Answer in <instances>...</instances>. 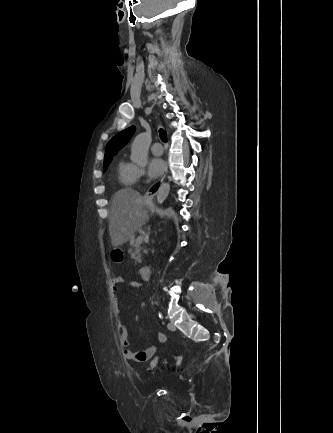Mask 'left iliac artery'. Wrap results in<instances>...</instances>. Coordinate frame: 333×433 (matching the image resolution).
<instances>
[{
  "mask_svg": "<svg viewBox=\"0 0 333 433\" xmlns=\"http://www.w3.org/2000/svg\"><path fill=\"white\" fill-rule=\"evenodd\" d=\"M159 317L162 318L161 314H159Z\"/></svg>",
  "mask_w": 333,
  "mask_h": 433,
  "instance_id": "1",
  "label": "left iliac artery"
}]
</instances>
